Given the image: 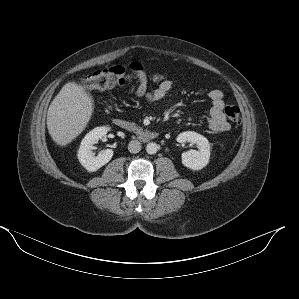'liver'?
Listing matches in <instances>:
<instances>
[{"mask_svg":"<svg viewBox=\"0 0 299 299\" xmlns=\"http://www.w3.org/2000/svg\"><path fill=\"white\" fill-rule=\"evenodd\" d=\"M93 113L91 97L76 83H66L47 112V128L60 146L72 142L87 126Z\"/></svg>","mask_w":299,"mask_h":299,"instance_id":"liver-1","label":"liver"}]
</instances>
